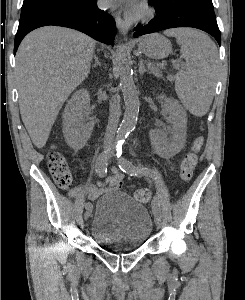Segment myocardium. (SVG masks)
I'll return each instance as SVG.
<instances>
[{
    "label": "myocardium",
    "mask_w": 245,
    "mask_h": 300,
    "mask_svg": "<svg viewBox=\"0 0 245 300\" xmlns=\"http://www.w3.org/2000/svg\"><path fill=\"white\" fill-rule=\"evenodd\" d=\"M152 16V10L147 3H142L139 7V10L135 14V19L145 20Z\"/></svg>",
    "instance_id": "f54148a6"
}]
</instances>
